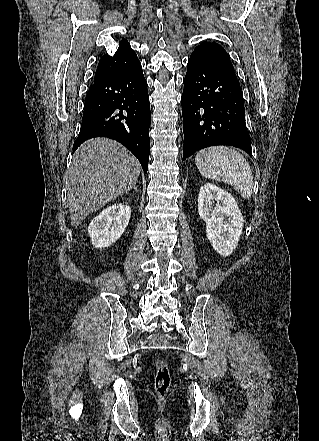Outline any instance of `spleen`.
<instances>
[{
	"instance_id": "1",
	"label": "spleen",
	"mask_w": 319,
	"mask_h": 441,
	"mask_svg": "<svg viewBox=\"0 0 319 441\" xmlns=\"http://www.w3.org/2000/svg\"><path fill=\"white\" fill-rule=\"evenodd\" d=\"M195 164L206 178L232 186L244 199L253 192V174L246 158L230 147L215 146L200 150Z\"/></svg>"
}]
</instances>
